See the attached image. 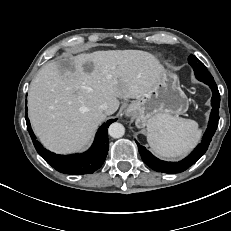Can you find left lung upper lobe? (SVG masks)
I'll list each match as a JSON object with an SVG mask.
<instances>
[{
	"label": "left lung upper lobe",
	"mask_w": 231,
	"mask_h": 231,
	"mask_svg": "<svg viewBox=\"0 0 231 231\" xmlns=\"http://www.w3.org/2000/svg\"><path fill=\"white\" fill-rule=\"evenodd\" d=\"M188 62L193 67L195 76L198 80L204 83H214L212 75L208 72L204 64L196 56H189Z\"/></svg>",
	"instance_id": "1"
}]
</instances>
